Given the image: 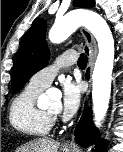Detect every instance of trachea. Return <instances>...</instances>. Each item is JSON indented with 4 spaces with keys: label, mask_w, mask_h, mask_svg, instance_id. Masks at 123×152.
<instances>
[{
    "label": "trachea",
    "mask_w": 123,
    "mask_h": 152,
    "mask_svg": "<svg viewBox=\"0 0 123 152\" xmlns=\"http://www.w3.org/2000/svg\"><path fill=\"white\" fill-rule=\"evenodd\" d=\"M87 61H88V58L85 55H81L78 60V66L80 68H85Z\"/></svg>",
    "instance_id": "trachea-1"
}]
</instances>
